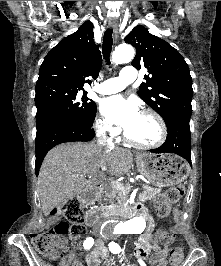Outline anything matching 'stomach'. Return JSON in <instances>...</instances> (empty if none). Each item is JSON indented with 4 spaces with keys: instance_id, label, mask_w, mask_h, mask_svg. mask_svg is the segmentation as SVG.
<instances>
[{
    "instance_id": "1",
    "label": "stomach",
    "mask_w": 221,
    "mask_h": 266,
    "mask_svg": "<svg viewBox=\"0 0 221 266\" xmlns=\"http://www.w3.org/2000/svg\"><path fill=\"white\" fill-rule=\"evenodd\" d=\"M136 163L138 171L158 187L181 184L190 171L183 159L171 154H140Z\"/></svg>"
}]
</instances>
